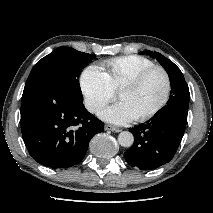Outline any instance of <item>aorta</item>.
Wrapping results in <instances>:
<instances>
[{
    "instance_id": "aorta-1",
    "label": "aorta",
    "mask_w": 213,
    "mask_h": 213,
    "mask_svg": "<svg viewBox=\"0 0 213 213\" xmlns=\"http://www.w3.org/2000/svg\"><path fill=\"white\" fill-rule=\"evenodd\" d=\"M118 142L122 147H131L134 143V136L129 131H123L118 136Z\"/></svg>"
}]
</instances>
